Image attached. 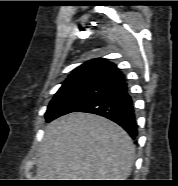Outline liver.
I'll list each match as a JSON object with an SVG mask.
<instances>
[{
	"instance_id": "1",
	"label": "liver",
	"mask_w": 178,
	"mask_h": 186,
	"mask_svg": "<svg viewBox=\"0 0 178 186\" xmlns=\"http://www.w3.org/2000/svg\"><path fill=\"white\" fill-rule=\"evenodd\" d=\"M135 146L116 123L89 113H71L45 127L37 180H125Z\"/></svg>"
}]
</instances>
